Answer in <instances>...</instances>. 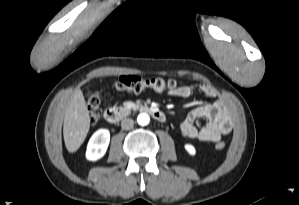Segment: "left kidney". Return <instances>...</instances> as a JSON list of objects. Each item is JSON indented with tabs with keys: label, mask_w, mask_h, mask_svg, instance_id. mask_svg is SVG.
<instances>
[{
	"label": "left kidney",
	"mask_w": 299,
	"mask_h": 205,
	"mask_svg": "<svg viewBox=\"0 0 299 205\" xmlns=\"http://www.w3.org/2000/svg\"><path fill=\"white\" fill-rule=\"evenodd\" d=\"M185 149H186V151H187L190 155H195V154H196V150H195V148H194L193 145L186 144V145H185Z\"/></svg>",
	"instance_id": "left-kidney-1"
}]
</instances>
